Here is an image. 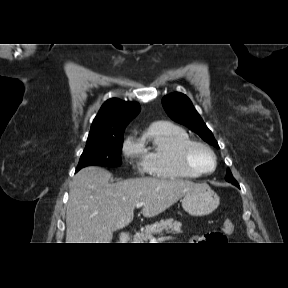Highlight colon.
<instances>
[{"label": "colon", "mask_w": 288, "mask_h": 288, "mask_svg": "<svg viewBox=\"0 0 288 288\" xmlns=\"http://www.w3.org/2000/svg\"><path fill=\"white\" fill-rule=\"evenodd\" d=\"M234 231V225L231 221L226 220L222 226V232H216L211 237L214 239L212 242H223L226 236L231 235Z\"/></svg>", "instance_id": "1"}]
</instances>
